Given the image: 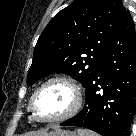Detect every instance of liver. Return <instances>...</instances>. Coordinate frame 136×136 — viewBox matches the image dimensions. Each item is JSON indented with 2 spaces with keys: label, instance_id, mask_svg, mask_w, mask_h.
<instances>
[{
  "label": "liver",
  "instance_id": "1",
  "mask_svg": "<svg viewBox=\"0 0 136 136\" xmlns=\"http://www.w3.org/2000/svg\"><path fill=\"white\" fill-rule=\"evenodd\" d=\"M51 133H53V132L48 133L47 131L43 130V131H39V132L34 133V136H48Z\"/></svg>",
  "mask_w": 136,
  "mask_h": 136
}]
</instances>
